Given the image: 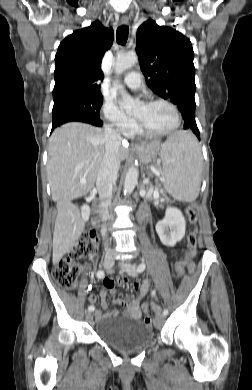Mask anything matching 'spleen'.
Here are the masks:
<instances>
[{"instance_id": "obj_1", "label": "spleen", "mask_w": 252, "mask_h": 390, "mask_svg": "<svg viewBox=\"0 0 252 390\" xmlns=\"http://www.w3.org/2000/svg\"><path fill=\"white\" fill-rule=\"evenodd\" d=\"M163 184L176 200L192 202L201 185L202 155L196 139L188 132L170 136L162 147Z\"/></svg>"}]
</instances>
